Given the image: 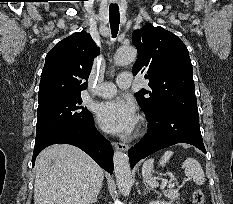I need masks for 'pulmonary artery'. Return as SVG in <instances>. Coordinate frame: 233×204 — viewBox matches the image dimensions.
I'll use <instances>...</instances> for the list:
<instances>
[{
	"instance_id": "e3ab8cb5",
	"label": "pulmonary artery",
	"mask_w": 233,
	"mask_h": 204,
	"mask_svg": "<svg viewBox=\"0 0 233 204\" xmlns=\"http://www.w3.org/2000/svg\"><path fill=\"white\" fill-rule=\"evenodd\" d=\"M131 82V76L123 73L117 77L116 85L113 83L104 82L97 87L95 93L100 97L109 98L116 94L117 87L122 89L129 88L131 86Z\"/></svg>"
}]
</instances>
